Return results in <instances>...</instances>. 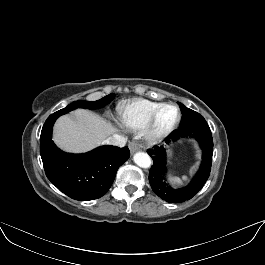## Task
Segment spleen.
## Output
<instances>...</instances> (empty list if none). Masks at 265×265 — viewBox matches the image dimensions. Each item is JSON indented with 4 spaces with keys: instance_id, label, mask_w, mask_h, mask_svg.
Segmentation results:
<instances>
[{
    "instance_id": "1",
    "label": "spleen",
    "mask_w": 265,
    "mask_h": 265,
    "mask_svg": "<svg viewBox=\"0 0 265 265\" xmlns=\"http://www.w3.org/2000/svg\"><path fill=\"white\" fill-rule=\"evenodd\" d=\"M193 169H195V166H193V167L191 168V172L193 171ZM184 179H185V177H184ZM173 181L179 183V182H180V179H179V178H173Z\"/></svg>"
}]
</instances>
